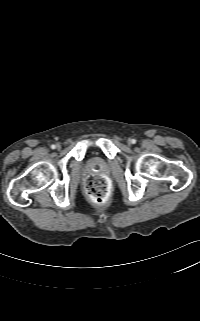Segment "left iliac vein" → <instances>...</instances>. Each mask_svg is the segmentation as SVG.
I'll return each mask as SVG.
<instances>
[{
    "label": "left iliac vein",
    "instance_id": "obj_1",
    "mask_svg": "<svg viewBox=\"0 0 200 321\" xmlns=\"http://www.w3.org/2000/svg\"><path fill=\"white\" fill-rule=\"evenodd\" d=\"M127 143H128L129 145H131V144H132V140H131V139H128Z\"/></svg>",
    "mask_w": 200,
    "mask_h": 321
}]
</instances>
